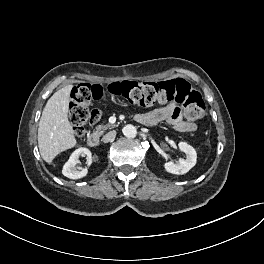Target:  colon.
I'll return each mask as SVG.
<instances>
[{
	"label": "colon",
	"mask_w": 264,
	"mask_h": 264,
	"mask_svg": "<svg viewBox=\"0 0 264 264\" xmlns=\"http://www.w3.org/2000/svg\"><path fill=\"white\" fill-rule=\"evenodd\" d=\"M105 96L123 98L136 106H151L175 102L182 106L186 118L200 119L206 110L202 95L184 79L162 82L118 81L104 87L80 84L71 95L70 120L77 136H82L88 123L98 120V113L90 110L94 101Z\"/></svg>",
	"instance_id": "5ec220e1"
}]
</instances>
